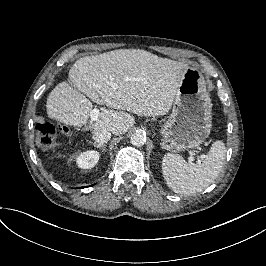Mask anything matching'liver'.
<instances>
[{
	"instance_id": "liver-1",
	"label": "liver",
	"mask_w": 266,
	"mask_h": 266,
	"mask_svg": "<svg viewBox=\"0 0 266 266\" xmlns=\"http://www.w3.org/2000/svg\"><path fill=\"white\" fill-rule=\"evenodd\" d=\"M187 69L186 64L145 50L120 49L78 59L69 70V79L80 92L108 108L93 121V130L122 136L136 122L131 114L163 117L170 112ZM80 92L67 81L59 82L47 97V117L83 127L93 104Z\"/></svg>"
}]
</instances>
